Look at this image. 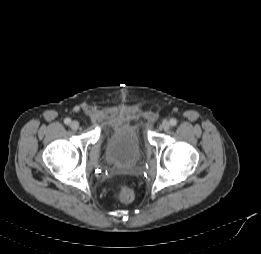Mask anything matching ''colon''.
Segmentation results:
<instances>
[{"instance_id": "colon-1", "label": "colon", "mask_w": 261, "mask_h": 254, "mask_svg": "<svg viewBox=\"0 0 261 254\" xmlns=\"http://www.w3.org/2000/svg\"><path fill=\"white\" fill-rule=\"evenodd\" d=\"M118 199L123 203H129L134 199V192L128 186H121L118 191Z\"/></svg>"}]
</instances>
